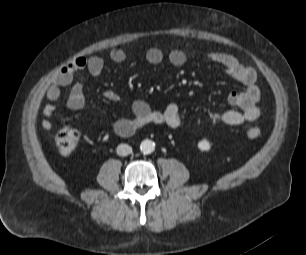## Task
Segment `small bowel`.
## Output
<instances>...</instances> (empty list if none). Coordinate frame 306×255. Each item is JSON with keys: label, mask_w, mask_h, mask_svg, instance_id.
<instances>
[{"label": "small bowel", "mask_w": 306, "mask_h": 255, "mask_svg": "<svg viewBox=\"0 0 306 255\" xmlns=\"http://www.w3.org/2000/svg\"><path fill=\"white\" fill-rule=\"evenodd\" d=\"M110 59L115 63H122L126 59V53L121 48H114L110 51ZM165 58L164 52L158 47L149 48L146 52V59L152 65H158ZM168 61L175 67L183 66L187 61V55L182 49H171L167 53ZM208 59L219 65L226 74L244 86L243 91H232L228 96L230 105L237 109L222 112H213L209 115L203 125L207 127H218L223 125H241L252 122L259 118L260 89L256 84V72L253 68L244 65L234 55L226 52H211ZM105 61L101 56L77 57L69 64L63 66L53 77L52 84L46 91L50 103L43 108L44 119L42 127L45 130L52 128L51 116L56 110L55 102L61 96V89L69 87L70 93L67 99V106L72 110L82 109L85 105L83 85L75 80V74L80 71H88L92 77L102 74ZM105 98L117 102L121 99L120 94L115 90H107ZM132 117L120 119L115 122L114 130L120 136H128L149 123L164 125L169 128H178L182 125V115L177 104H169L163 111H155L143 100H136L132 103Z\"/></svg>", "instance_id": "obj_1"}]
</instances>
